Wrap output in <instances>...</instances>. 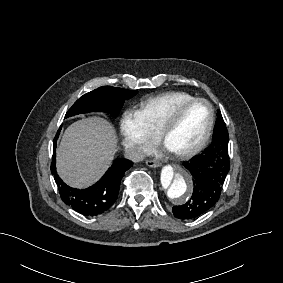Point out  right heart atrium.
I'll return each instance as SVG.
<instances>
[{
	"instance_id": "d8ad5b80",
	"label": "right heart atrium",
	"mask_w": 283,
	"mask_h": 283,
	"mask_svg": "<svg viewBox=\"0 0 283 283\" xmlns=\"http://www.w3.org/2000/svg\"><path fill=\"white\" fill-rule=\"evenodd\" d=\"M118 136L126 157L133 162L142 160L153 143L144 118L132 107H126L121 114Z\"/></svg>"
}]
</instances>
